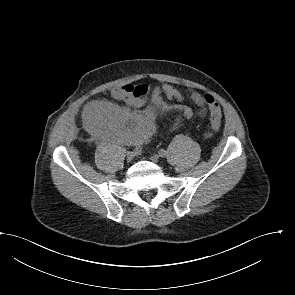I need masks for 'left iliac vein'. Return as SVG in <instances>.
<instances>
[{
    "label": "left iliac vein",
    "mask_w": 295,
    "mask_h": 295,
    "mask_svg": "<svg viewBox=\"0 0 295 295\" xmlns=\"http://www.w3.org/2000/svg\"><path fill=\"white\" fill-rule=\"evenodd\" d=\"M159 159H160V156L158 154H153L151 155L150 157V160L154 163H158L159 162Z\"/></svg>",
    "instance_id": "obj_1"
}]
</instances>
